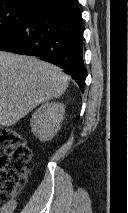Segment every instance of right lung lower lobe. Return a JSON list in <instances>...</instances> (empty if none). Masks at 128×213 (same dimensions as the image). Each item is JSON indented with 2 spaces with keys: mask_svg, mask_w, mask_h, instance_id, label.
I'll list each match as a JSON object with an SVG mask.
<instances>
[{
  "mask_svg": "<svg viewBox=\"0 0 128 213\" xmlns=\"http://www.w3.org/2000/svg\"><path fill=\"white\" fill-rule=\"evenodd\" d=\"M83 24L78 0H41L21 25L0 41V51L54 61L84 90Z\"/></svg>",
  "mask_w": 128,
  "mask_h": 213,
  "instance_id": "1",
  "label": "right lung lower lobe"
}]
</instances>
